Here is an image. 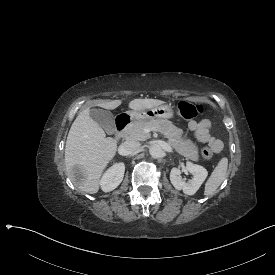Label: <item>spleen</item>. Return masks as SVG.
I'll return each mask as SVG.
<instances>
[{"instance_id":"spleen-1","label":"spleen","mask_w":275,"mask_h":275,"mask_svg":"<svg viewBox=\"0 0 275 275\" xmlns=\"http://www.w3.org/2000/svg\"><path fill=\"white\" fill-rule=\"evenodd\" d=\"M227 169H228V159L225 157L219 161L218 165L215 167L211 176L208 178L205 184L204 194L206 196L213 195V193L221 185V183L226 178Z\"/></svg>"}]
</instances>
